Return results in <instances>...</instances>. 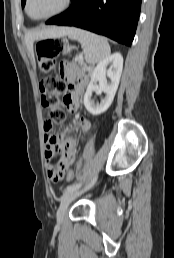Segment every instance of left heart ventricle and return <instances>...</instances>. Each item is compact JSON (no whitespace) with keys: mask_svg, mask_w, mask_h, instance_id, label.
Wrapping results in <instances>:
<instances>
[{"mask_svg":"<svg viewBox=\"0 0 174 258\" xmlns=\"http://www.w3.org/2000/svg\"><path fill=\"white\" fill-rule=\"evenodd\" d=\"M63 0H31L29 13L33 17L49 14L61 7Z\"/></svg>","mask_w":174,"mask_h":258,"instance_id":"obj_1","label":"left heart ventricle"}]
</instances>
